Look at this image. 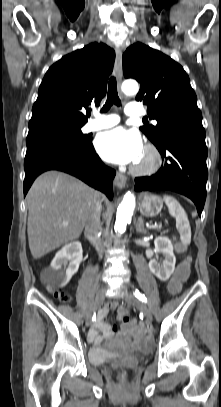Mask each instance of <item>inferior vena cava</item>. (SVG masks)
I'll use <instances>...</instances> for the list:
<instances>
[{"mask_svg":"<svg viewBox=\"0 0 221 407\" xmlns=\"http://www.w3.org/2000/svg\"><path fill=\"white\" fill-rule=\"evenodd\" d=\"M101 210H102L101 202L98 199H95L87 222L85 224V235L93 243L99 254H102L103 252L102 242L98 237V233L101 226L100 223Z\"/></svg>","mask_w":221,"mask_h":407,"instance_id":"inferior-vena-cava-1","label":"inferior vena cava"}]
</instances>
